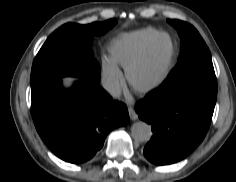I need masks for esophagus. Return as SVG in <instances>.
Instances as JSON below:
<instances>
[{
	"label": "esophagus",
	"mask_w": 236,
	"mask_h": 182,
	"mask_svg": "<svg viewBox=\"0 0 236 182\" xmlns=\"http://www.w3.org/2000/svg\"><path fill=\"white\" fill-rule=\"evenodd\" d=\"M128 113H129V116H130L131 120H137L138 119V115L135 112L133 107H131V106L128 107Z\"/></svg>",
	"instance_id": "obj_1"
}]
</instances>
